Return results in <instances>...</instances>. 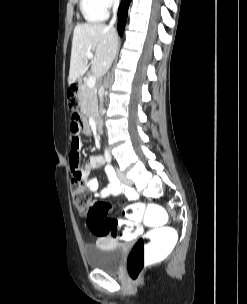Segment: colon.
<instances>
[{"label":"colon","instance_id":"5ec220e1","mask_svg":"<svg viewBox=\"0 0 247 304\" xmlns=\"http://www.w3.org/2000/svg\"><path fill=\"white\" fill-rule=\"evenodd\" d=\"M67 103L71 112H78L79 101L75 90L68 91ZM71 192L76 208L87 216L89 229L99 237L135 241L136 235L141 234L138 221L141 220L142 225H152V229L138 238L129 252L127 271L133 281L139 279L152 259H165V253H173L178 244L176 225H166V221L172 220V215L167 214L162 202H136L124 210L127 219L117 220L108 218V203L90 202V195L79 180H72Z\"/></svg>","mask_w":247,"mask_h":304}]
</instances>
